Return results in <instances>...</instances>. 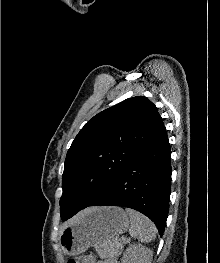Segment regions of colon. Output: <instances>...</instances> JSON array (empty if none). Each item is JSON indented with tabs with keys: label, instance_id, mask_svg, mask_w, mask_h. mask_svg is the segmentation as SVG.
I'll use <instances>...</instances> for the list:
<instances>
[{
	"label": "colon",
	"instance_id": "obj_1",
	"mask_svg": "<svg viewBox=\"0 0 220 263\" xmlns=\"http://www.w3.org/2000/svg\"><path fill=\"white\" fill-rule=\"evenodd\" d=\"M67 263H81V257L71 258Z\"/></svg>",
	"mask_w": 220,
	"mask_h": 263
}]
</instances>
